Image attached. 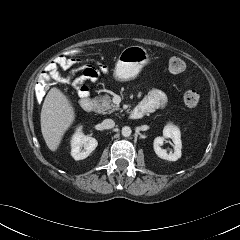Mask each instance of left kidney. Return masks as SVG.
Listing matches in <instances>:
<instances>
[{
	"label": "left kidney",
	"mask_w": 240,
	"mask_h": 240,
	"mask_svg": "<svg viewBox=\"0 0 240 240\" xmlns=\"http://www.w3.org/2000/svg\"><path fill=\"white\" fill-rule=\"evenodd\" d=\"M165 138H171L174 143V152L167 153L165 149H162L161 146L164 143ZM154 151L158 157L161 159L176 161L181 157V133L177 126L168 124L163 129V137H156L153 142Z\"/></svg>",
	"instance_id": "1"
}]
</instances>
